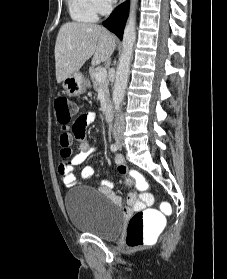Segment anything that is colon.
<instances>
[{
  "instance_id": "1",
  "label": "colon",
  "mask_w": 227,
  "mask_h": 279,
  "mask_svg": "<svg viewBox=\"0 0 227 279\" xmlns=\"http://www.w3.org/2000/svg\"><path fill=\"white\" fill-rule=\"evenodd\" d=\"M56 119L61 126L59 145L63 149V155L69 156L71 149V133H82L84 131L85 117L74 118L75 105L67 98H58L54 102ZM124 170V168H123ZM135 185L146 190L149 187L148 182L137 172L133 173ZM164 226V215L159 211L143 209L136 212L130 219L126 244L129 249H136L145 241L152 239Z\"/></svg>"
}]
</instances>
